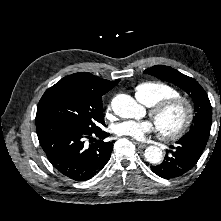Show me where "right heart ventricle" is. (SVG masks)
Returning a JSON list of instances; mask_svg holds the SVG:
<instances>
[{"instance_id":"obj_1","label":"right heart ventricle","mask_w":221,"mask_h":221,"mask_svg":"<svg viewBox=\"0 0 221 221\" xmlns=\"http://www.w3.org/2000/svg\"><path fill=\"white\" fill-rule=\"evenodd\" d=\"M135 95L141 103L151 107L159 101L179 96V92L167 83L147 81L137 85Z\"/></svg>"}]
</instances>
